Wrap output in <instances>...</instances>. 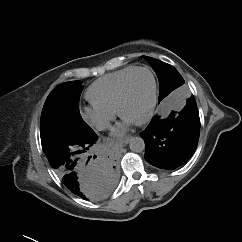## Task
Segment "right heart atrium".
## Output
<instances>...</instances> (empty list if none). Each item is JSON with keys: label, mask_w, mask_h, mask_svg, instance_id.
Wrapping results in <instances>:
<instances>
[{"label": "right heart atrium", "mask_w": 242, "mask_h": 242, "mask_svg": "<svg viewBox=\"0 0 242 242\" xmlns=\"http://www.w3.org/2000/svg\"><path fill=\"white\" fill-rule=\"evenodd\" d=\"M81 118L97 130H106L115 118V111L94 104L86 105L80 109Z\"/></svg>", "instance_id": "1"}]
</instances>
